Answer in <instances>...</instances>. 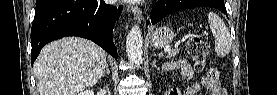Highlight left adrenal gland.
<instances>
[{
	"label": "left adrenal gland",
	"mask_w": 277,
	"mask_h": 95,
	"mask_svg": "<svg viewBox=\"0 0 277 95\" xmlns=\"http://www.w3.org/2000/svg\"><path fill=\"white\" fill-rule=\"evenodd\" d=\"M152 66H153V67H156V60L153 61Z\"/></svg>",
	"instance_id": "1"
}]
</instances>
